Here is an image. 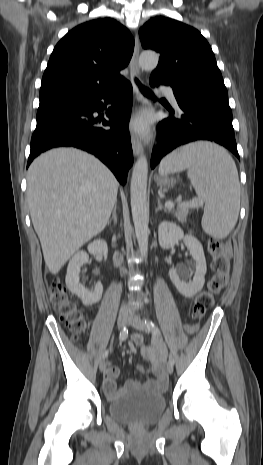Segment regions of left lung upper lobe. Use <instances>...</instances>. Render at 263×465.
<instances>
[{
	"mask_svg": "<svg viewBox=\"0 0 263 465\" xmlns=\"http://www.w3.org/2000/svg\"><path fill=\"white\" fill-rule=\"evenodd\" d=\"M143 48L161 54L151 77L169 85H186L199 99H228L214 53L201 33L182 22L158 16L139 30Z\"/></svg>",
	"mask_w": 263,
	"mask_h": 465,
	"instance_id": "left-lung-upper-lobe-1",
	"label": "left lung upper lobe"
}]
</instances>
